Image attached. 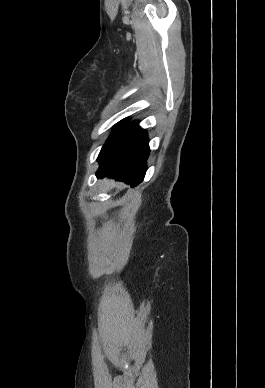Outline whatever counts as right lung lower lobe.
I'll return each mask as SVG.
<instances>
[{
    "instance_id": "right-lung-lower-lobe-1",
    "label": "right lung lower lobe",
    "mask_w": 265,
    "mask_h": 388,
    "mask_svg": "<svg viewBox=\"0 0 265 388\" xmlns=\"http://www.w3.org/2000/svg\"><path fill=\"white\" fill-rule=\"evenodd\" d=\"M146 131L132 122L111 137L98 156L97 177H113L132 187L143 181L150 149Z\"/></svg>"
}]
</instances>
